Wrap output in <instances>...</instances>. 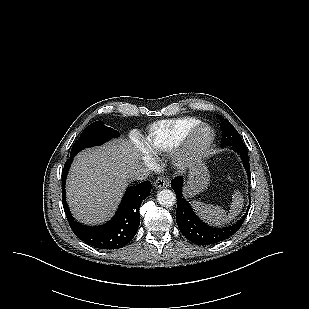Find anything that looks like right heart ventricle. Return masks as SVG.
<instances>
[{
  "label": "right heart ventricle",
  "mask_w": 309,
  "mask_h": 309,
  "mask_svg": "<svg viewBox=\"0 0 309 309\" xmlns=\"http://www.w3.org/2000/svg\"><path fill=\"white\" fill-rule=\"evenodd\" d=\"M200 121L194 118L162 120L149 127L143 140L144 146L151 154L168 153L178 147L189 131Z\"/></svg>",
  "instance_id": "1"
}]
</instances>
